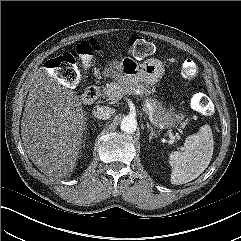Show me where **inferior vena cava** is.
Instances as JSON below:
<instances>
[{
  "label": "inferior vena cava",
  "mask_w": 241,
  "mask_h": 241,
  "mask_svg": "<svg viewBox=\"0 0 241 241\" xmlns=\"http://www.w3.org/2000/svg\"><path fill=\"white\" fill-rule=\"evenodd\" d=\"M114 113H115V110L108 106H96L92 111V114L96 118L102 119V120L109 119Z\"/></svg>",
  "instance_id": "inferior-vena-cava-1"
}]
</instances>
